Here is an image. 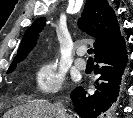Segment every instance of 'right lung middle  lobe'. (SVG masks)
I'll list each match as a JSON object with an SVG mask.
<instances>
[{"instance_id":"1","label":"right lung middle lobe","mask_w":133,"mask_h":118,"mask_svg":"<svg viewBox=\"0 0 133 118\" xmlns=\"http://www.w3.org/2000/svg\"><path fill=\"white\" fill-rule=\"evenodd\" d=\"M15 67H16V65L10 67V68L8 69L7 73L13 72V71L15 70Z\"/></svg>"}]
</instances>
